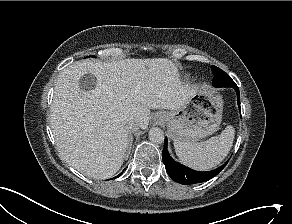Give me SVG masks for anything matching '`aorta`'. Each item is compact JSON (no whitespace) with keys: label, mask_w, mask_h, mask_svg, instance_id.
<instances>
[{"label":"aorta","mask_w":292,"mask_h":224,"mask_svg":"<svg viewBox=\"0 0 292 224\" xmlns=\"http://www.w3.org/2000/svg\"><path fill=\"white\" fill-rule=\"evenodd\" d=\"M149 139L154 143H162L164 142V132L160 128L154 127L149 131Z\"/></svg>","instance_id":"obj_1"}]
</instances>
